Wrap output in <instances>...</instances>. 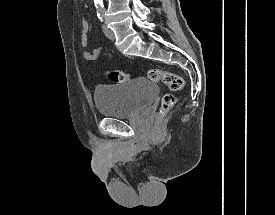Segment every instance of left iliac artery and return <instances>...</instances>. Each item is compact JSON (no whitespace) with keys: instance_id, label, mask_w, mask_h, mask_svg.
Wrapping results in <instances>:
<instances>
[{"instance_id":"1","label":"left iliac artery","mask_w":275,"mask_h":215,"mask_svg":"<svg viewBox=\"0 0 275 215\" xmlns=\"http://www.w3.org/2000/svg\"><path fill=\"white\" fill-rule=\"evenodd\" d=\"M103 14H104L103 6L97 7V16L101 21L103 20Z\"/></svg>"}]
</instances>
